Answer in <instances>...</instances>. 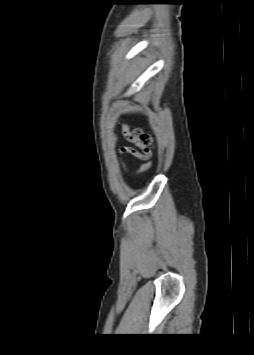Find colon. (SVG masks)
I'll use <instances>...</instances> for the list:
<instances>
[{"label":"colon","instance_id":"colon-1","mask_svg":"<svg viewBox=\"0 0 254 355\" xmlns=\"http://www.w3.org/2000/svg\"><path fill=\"white\" fill-rule=\"evenodd\" d=\"M134 136H135L136 138H138L139 141H140L144 146H150V145H151V138H150L147 134H145V133H143V132H141V131H139V130H136V131L134 132Z\"/></svg>","mask_w":254,"mask_h":355}]
</instances>
